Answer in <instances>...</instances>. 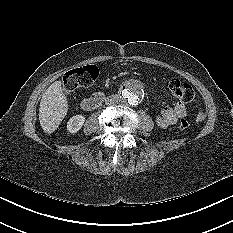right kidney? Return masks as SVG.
Here are the masks:
<instances>
[{"mask_svg":"<svg viewBox=\"0 0 233 233\" xmlns=\"http://www.w3.org/2000/svg\"><path fill=\"white\" fill-rule=\"evenodd\" d=\"M85 122V117L82 115H75L70 118L67 123V130L70 133H77L83 126Z\"/></svg>","mask_w":233,"mask_h":233,"instance_id":"ca27d5eb","label":"right kidney"}]
</instances>
